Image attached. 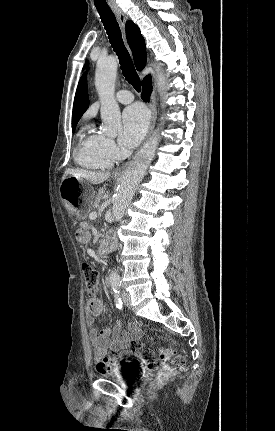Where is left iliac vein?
<instances>
[{
	"label": "left iliac vein",
	"instance_id": "left-iliac-vein-1",
	"mask_svg": "<svg viewBox=\"0 0 275 431\" xmlns=\"http://www.w3.org/2000/svg\"><path fill=\"white\" fill-rule=\"evenodd\" d=\"M122 299H123V301H124V304H125L127 307H130V305H131V297H130V294H129V293H127V292H123V293H122Z\"/></svg>",
	"mask_w": 275,
	"mask_h": 431
}]
</instances>
